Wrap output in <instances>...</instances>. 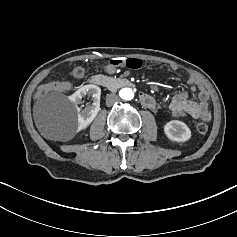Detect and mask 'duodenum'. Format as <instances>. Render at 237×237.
Listing matches in <instances>:
<instances>
[{"label":"duodenum","mask_w":237,"mask_h":237,"mask_svg":"<svg viewBox=\"0 0 237 237\" xmlns=\"http://www.w3.org/2000/svg\"><path fill=\"white\" fill-rule=\"evenodd\" d=\"M90 84L97 86V87H106V86H117V87H132L133 83L128 79H120L117 81L112 82L107 77L103 75H95L92 76L89 80Z\"/></svg>","instance_id":"duodenum-1"}]
</instances>
